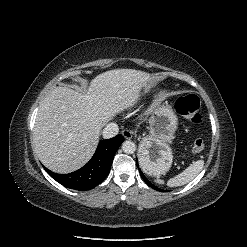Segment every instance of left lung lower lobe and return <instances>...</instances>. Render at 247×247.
<instances>
[{"instance_id": "0a47b994", "label": "left lung lower lobe", "mask_w": 247, "mask_h": 247, "mask_svg": "<svg viewBox=\"0 0 247 247\" xmlns=\"http://www.w3.org/2000/svg\"><path fill=\"white\" fill-rule=\"evenodd\" d=\"M137 167H138V163H137ZM140 174H141L142 179H143L150 187H152V188L155 189V190H159L158 187H156L155 185L151 184V183L144 177V175L142 174V172H140Z\"/></svg>"}]
</instances>
